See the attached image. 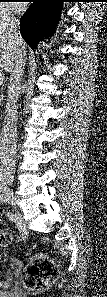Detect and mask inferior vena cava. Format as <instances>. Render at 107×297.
Here are the masks:
<instances>
[{
  "label": "inferior vena cava",
  "instance_id": "1",
  "mask_svg": "<svg viewBox=\"0 0 107 297\" xmlns=\"http://www.w3.org/2000/svg\"><path fill=\"white\" fill-rule=\"evenodd\" d=\"M19 20L5 14L0 20V34H5L16 47L15 66L10 73L5 118L0 136V155L3 174L11 176L15 167L17 137V101L20 95V82L26 64L24 40L19 32Z\"/></svg>",
  "mask_w": 107,
  "mask_h": 297
}]
</instances>
